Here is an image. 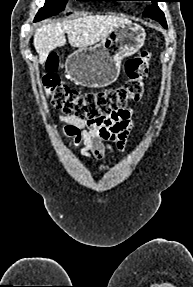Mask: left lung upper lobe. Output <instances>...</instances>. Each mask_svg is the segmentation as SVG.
<instances>
[{
	"label": "left lung upper lobe",
	"mask_w": 193,
	"mask_h": 287,
	"mask_svg": "<svg viewBox=\"0 0 193 287\" xmlns=\"http://www.w3.org/2000/svg\"><path fill=\"white\" fill-rule=\"evenodd\" d=\"M149 1H152V5L148 6L145 9L143 15L160 22L162 26L166 27L167 24H166L164 13L160 10V8L157 5V3L161 0H149Z\"/></svg>",
	"instance_id": "5c2ea615"
}]
</instances>
